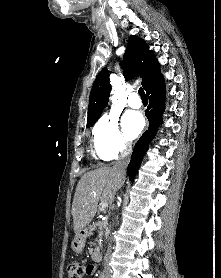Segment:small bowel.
<instances>
[{"label":"small bowel","mask_w":221,"mask_h":278,"mask_svg":"<svg viewBox=\"0 0 221 278\" xmlns=\"http://www.w3.org/2000/svg\"><path fill=\"white\" fill-rule=\"evenodd\" d=\"M90 266H91V271H90L88 276H92L95 273V271H96L95 266H93V265H90Z\"/></svg>","instance_id":"small-bowel-1"}]
</instances>
